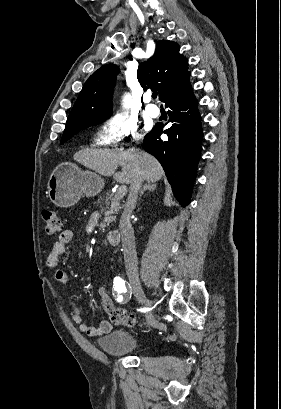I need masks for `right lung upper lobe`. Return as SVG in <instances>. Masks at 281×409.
I'll return each instance as SVG.
<instances>
[{"instance_id":"right-lung-upper-lobe-1","label":"right lung upper lobe","mask_w":281,"mask_h":409,"mask_svg":"<svg viewBox=\"0 0 281 409\" xmlns=\"http://www.w3.org/2000/svg\"><path fill=\"white\" fill-rule=\"evenodd\" d=\"M177 43L160 40L155 54L138 66L137 77L141 86L150 85L159 91L164 102L183 83L189 72L188 61L179 53ZM119 69L108 64L96 70L84 84L66 122L68 127H81L111 115L112 90Z\"/></svg>"}]
</instances>
